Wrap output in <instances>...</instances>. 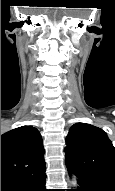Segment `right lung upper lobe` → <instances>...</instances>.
<instances>
[{
  "instance_id": "obj_1",
  "label": "right lung upper lobe",
  "mask_w": 115,
  "mask_h": 191,
  "mask_svg": "<svg viewBox=\"0 0 115 191\" xmlns=\"http://www.w3.org/2000/svg\"><path fill=\"white\" fill-rule=\"evenodd\" d=\"M46 170L39 131L21 126L1 135V180L22 179Z\"/></svg>"
}]
</instances>
